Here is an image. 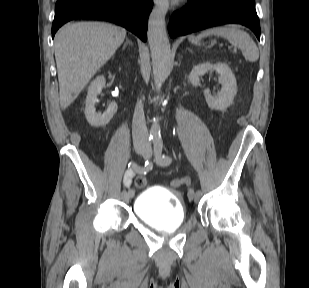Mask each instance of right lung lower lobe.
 <instances>
[{"label": "right lung lower lobe", "mask_w": 309, "mask_h": 288, "mask_svg": "<svg viewBox=\"0 0 309 288\" xmlns=\"http://www.w3.org/2000/svg\"><path fill=\"white\" fill-rule=\"evenodd\" d=\"M153 0H57L52 37L66 22L84 18L115 22L144 42Z\"/></svg>", "instance_id": "98d812e1"}]
</instances>
